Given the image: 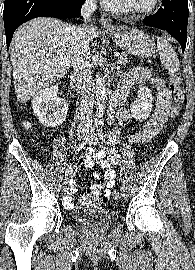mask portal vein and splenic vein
<instances>
[{
  "label": "portal vein and splenic vein",
  "instance_id": "1",
  "mask_svg": "<svg viewBox=\"0 0 195 270\" xmlns=\"http://www.w3.org/2000/svg\"><path fill=\"white\" fill-rule=\"evenodd\" d=\"M115 56H116V57H119V56H120V53H119V52H116V53H115Z\"/></svg>",
  "mask_w": 195,
  "mask_h": 270
}]
</instances>
